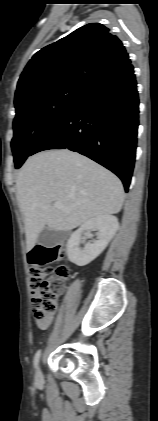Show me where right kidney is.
<instances>
[{
  "label": "right kidney",
  "instance_id": "ca27d5eb",
  "mask_svg": "<svg viewBox=\"0 0 158 421\" xmlns=\"http://www.w3.org/2000/svg\"><path fill=\"white\" fill-rule=\"evenodd\" d=\"M119 228L118 219L112 215L96 217L84 222L72 233L67 242V255L70 262L85 266L96 259L107 247ZM98 229L97 240L80 247L83 232Z\"/></svg>",
  "mask_w": 158,
  "mask_h": 421
}]
</instances>
